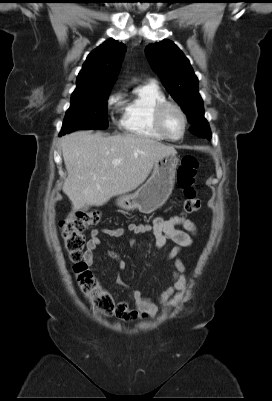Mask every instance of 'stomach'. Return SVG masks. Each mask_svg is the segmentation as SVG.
I'll use <instances>...</instances> for the list:
<instances>
[{
    "label": "stomach",
    "instance_id": "obj_1",
    "mask_svg": "<svg viewBox=\"0 0 272 401\" xmlns=\"http://www.w3.org/2000/svg\"><path fill=\"white\" fill-rule=\"evenodd\" d=\"M179 159L171 154L154 164L150 178L136 192L117 199V205L127 211L150 214L163 206L172 193Z\"/></svg>",
    "mask_w": 272,
    "mask_h": 401
}]
</instances>
